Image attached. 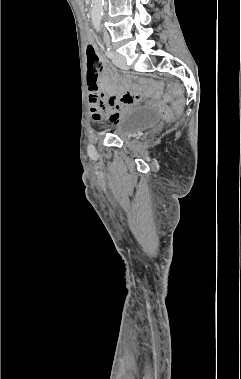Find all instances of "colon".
Wrapping results in <instances>:
<instances>
[{
    "label": "colon",
    "mask_w": 241,
    "mask_h": 379,
    "mask_svg": "<svg viewBox=\"0 0 241 379\" xmlns=\"http://www.w3.org/2000/svg\"><path fill=\"white\" fill-rule=\"evenodd\" d=\"M86 60H87V80L90 86L91 83L97 84L98 71H99V57L96 53L95 47L89 44L86 48ZM109 98H117V93H109ZM169 101V100H168ZM167 99H162V103H157V109L161 110L162 114L169 119L174 118L183 109L184 102L179 98H172V106H167Z\"/></svg>",
    "instance_id": "obj_1"
}]
</instances>
